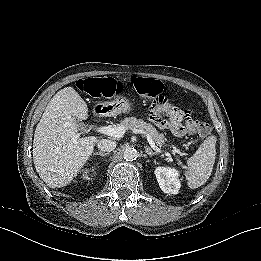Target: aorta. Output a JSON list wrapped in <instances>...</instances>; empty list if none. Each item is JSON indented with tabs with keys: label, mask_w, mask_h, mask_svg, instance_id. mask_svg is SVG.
I'll use <instances>...</instances> for the list:
<instances>
[{
	"label": "aorta",
	"mask_w": 261,
	"mask_h": 261,
	"mask_svg": "<svg viewBox=\"0 0 261 261\" xmlns=\"http://www.w3.org/2000/svg\"><path fill=\"white\" fill-rule=\"evenodd\" d=\"M137 156H138L137 150L132 147L126 148L123 152V158L126 161H133L137 158Z\"/></svg>",
	"instance_id": "aorta-1"
}]
</instances>
